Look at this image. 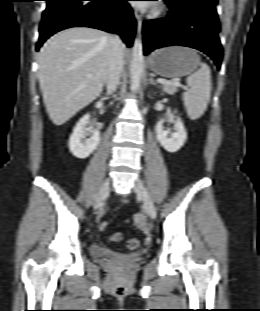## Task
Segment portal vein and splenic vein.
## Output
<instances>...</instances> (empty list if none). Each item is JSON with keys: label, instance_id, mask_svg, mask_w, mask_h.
Wrapping results in <instances>:
<instances>
[{"label": "portal vein and splenic vein", "instance_id": "1", "mask_svg": "<svg viewBox=\"0 0 260 311\" xmlns=\"http://www.w3.org/2000/svg\"><path fill=\"white\" fill-rule=\"evenodd\" d=\"M157 82L160 84H171V85L181 86V84L178 81H167L161 78L157 79Z\"/></svg>", "mask_w": 260, "mask_h": 311}]
</instances>
